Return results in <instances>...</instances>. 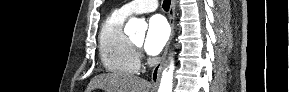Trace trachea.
Returning a JSON list of instances; mask_svg holds the SVG:
<instances>
[{
    "instance_id": "obj_1",
    "label": "trachea",
    "mask_w": 289,
    "mask_h": 92,
    "mask_svg": "<svg viewBox=\"0 0 289 92\" xmlns=\"http://www.w3.org/2000/svg\"><path fill=\"white\" fill-rule=\"evenodd\" d=\"M170 4H171V1H170V0H164V2H163V9H164L165 11H168L169 8H170Z\"/></svg>"
}]
</instances>
